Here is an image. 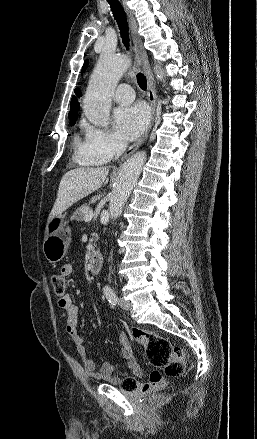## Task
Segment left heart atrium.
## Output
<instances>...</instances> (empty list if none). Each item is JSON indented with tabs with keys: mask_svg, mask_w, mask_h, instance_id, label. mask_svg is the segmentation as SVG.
Returning <instances> with one entry per match:
<instances>
[{
	"mask_svg": "<svg viewBox=\"0 0 257 439\" xmlns=\"http://www.w3.org/2000/svg\"><path fill=\"white\" fill-rule=\"evenodd\" d=\"M115 120L126 138H135L146 128L149 120V110L143 103L118 108L114 114Z\"/></svg>",
	"mask_w": 257,
	"mask_h": 439,
	"instance_id": "1",
	"label": "left heart atrium"
}]
</instances>
